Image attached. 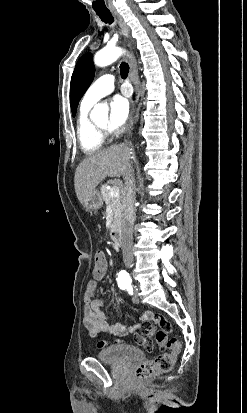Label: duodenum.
I'll return each instance as SVG.
<instances>
[{
	"label": "duodenum",
	"mask_w": 247,
	"mask_h": 413,
	"mask_svg": "<svg viewBox=\"0 0 247 413\" xmlns=\"http://www.w3.org/2000/svg\"><path fill=\"white\" fill-rule=\"evenodd\" d=\"M109 241L112 245H120L122 241L121 233L117 228H112L109 232Z\"/></svg>",
	"instance_id": "duodenum-1"
}]
</instances>
